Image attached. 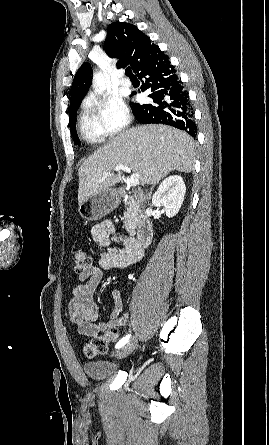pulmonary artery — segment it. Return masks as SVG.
I'll return each mask as SVG.
<instances>
[{"label":"pulmonary artery","mask_w":269,"mask_h":445,"mask_svg":"<svg viewBox=\"0 0 269 445\" xmlns=\"http://www.w3.org/2000/svg\"><path fill=\"white\" fill-rule=\"evenodd\" d=\"M120 84L123 87H130L131 86V81L128 78H126V77H121Z\"/></svg>","instance_id":"e3ab8cb5"}]
</instances>
